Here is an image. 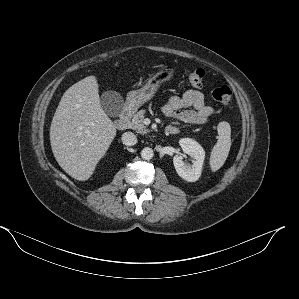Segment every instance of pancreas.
<instances>
[{
	"mask_svg": "<svg viewBox=\"0 0 299 299\" xmlns=\"http://www.w3.org/2000/svg\"><path fill=\"white\" fill-rule=\"evenodd\" d=\"M145 110L137 112L129 123V128L136 130L140 134H146L149 130L144 125Z\"/></svg>",
	"mask_w": 299,
	"mask_h": 299,
	"instance_id": "cf45deb5",
	"label": "pancreas"
}]
</instances>
